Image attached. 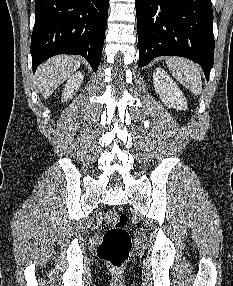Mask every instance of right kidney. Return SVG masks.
Masks as SVG:
<instances>
[{
	"label": "right kidney",
	"instance_id": "ca27d5eb",
	"mask_svg": "<svg viewBox=\"0 0 233 286\" xmlns=\"http://www.w3.org/2000/svg\"><path fill=\"white\" fill-rule=\"evenodd\" d=\"M83 82V75L80 72L74 73L67 81L65 88L62 92V101L71 99L78 91Z\"/></svg>",
	"mask_w": 233,
	"mask_h": 286
}]
</instances>
